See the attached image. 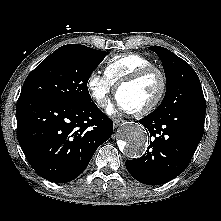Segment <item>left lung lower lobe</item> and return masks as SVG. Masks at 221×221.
I'll return each mask as SVG.
<instances>
[{
    "mask_svg": "<svg viewBox=\"0 0 221 221\" xmlns=\"http://www.w3.org/2000/svg\"><path fill=\"white\" fill-rule=\"evenodd\" d=\"M205 113L206 109L188 107L154 111L140 119L152 141L141 158L126 161L128 172L147 185L164 184L180 175L202 139Z\"/></svg>",
    "mask_w": 221,
    "mask_h": 221,
    "instance_id": "0a47b994",
    "label": "left lung lower lobe"
}]
</instances>
